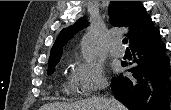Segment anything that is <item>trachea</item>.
I'll return each mask as SVG.
<instances>
[{"label":"trachea","mask_w":171,"mask_h":110,"mask_svg":"<svg viewBox=\"0 0 171 110\" xmlns=\"http://www.w3.org/2000/svg\"><path fill=\"white\" fill-rule=\"evenodd\" d=\"M127 43H128V39H127V38H124V39H123V44L126 45Z\"/></svg>","instance_id":"trachea-1"}]
</instances>
